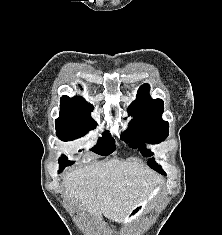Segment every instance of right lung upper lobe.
Returning <instances> with one entry per match:
<instances>
[{
    "instance_id": "1",
    "label": "right lung upper lobe",
    "mask_w": 222,
    "mask_h": 235,
    "mask_svg": "<svg viewBox=\"0 0 222 235\" xmlns=\"http://www.w3.org/2000/svg\"><path fill=\"white\" fill-rule=\"evenodd\" d=\"M93 106L85 102L81 97L62 96L60 100V117H84L91 116Z\"/></svg>"
}]
</instances>
